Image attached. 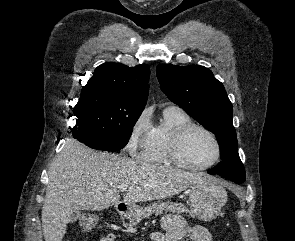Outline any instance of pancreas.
Segmentation results:
<instances>
[{
  "instance_id": "cf45deb5",
  "label": "pancreas",
  "mask_w": 295,
  "mask_h": 241,
  "mask_svg": "<svg viewBox=\"0 0 295 241\" xmlns=\"http://www.w3.org/2000/svg\"><path fill=\"white\" fill-rule=\"evenodd\" d=\"M163 212H172L177 214L189 213L191 212L183 205L177 202H157L152 205L138 208L131 216L128 225L135 226L142 219L150 217L152 214L161 215Z\"/></svg>"
}]
</instances>
